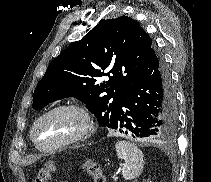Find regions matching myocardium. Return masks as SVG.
I'll use <instances>...</instances> for the list:
<instances>
[{"label":"myocardium","instance_id":"obj_1","mask_svg":"<svg viewBox=\"0 0 211 182\" xmlns=\"http://www.w3.org/2000/svg\"><path fill=\"white\" fill-rule=\"evenodd\" d=\"M60 110H71L76 112L82 118L83 121L81 129L75 135L69 137L68 139L62 142L50 146H41L40 144H38L35 138V130L38 124L50 114ZM92 126L93 120L91 118V115L84 107L74 103H63L50 108L35 120L30 130V138L37 149L41 151H52L80 142L89 134L92 129Z\"/></svg>","mask_w":211,"mask_h":182}]
</instances>
